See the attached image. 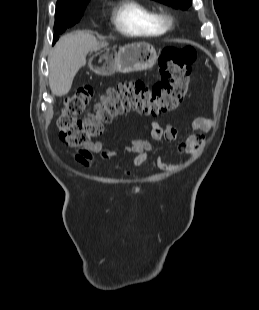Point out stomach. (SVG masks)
Returning a JSON list of instances; mask_svg holds the SVG:
<instances>
[{
    "mask_svg": "<svg viewBox=\"0 0 259 310\" xmlns=\"http://www.w3.org/2000/svg\"><path fill=\"white\" fill-rule=\"evenodd\" d=\"M155 48L145 42L121 47L118 53L111 48L99 49L89 60L90 69L102 76L115 72L130 73L152 68L157 61Z\"/></svg>",
    "mask_w": 259,
    "mask_h": 310,
    "instance_id": "1",
    "label": "stomach"
}]
</instances>
